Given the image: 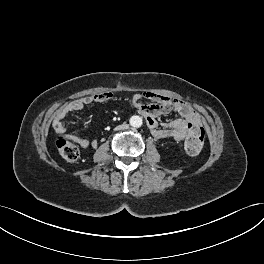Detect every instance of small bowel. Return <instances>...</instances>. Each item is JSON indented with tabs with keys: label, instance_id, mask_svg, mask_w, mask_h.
Listing matches in <instances>:
<instances>
[{
	"label": "small bowel",
	"instance_id": "c3829d8e",
	"mask_svg": "<svg viewBox=\"0 0 264 264\" xmlns=\"http://www.w3.org/2000/svg\"><path fill=\"white\" fill-rule=\"evenodd\" d=\"M113 98L110 92L87 96L77 100H73L63 105L55 114L53 128L58 134H65L66 127L63 123L65 116L71 112H77L84 109L86 105L92 103H104ZM143 99H148L152 103H144ZM133 106L145 118L151 134L157 139L173 138L176 141H182L189 136L194 126H200V117L195 110L187 103L180 99H172L168 96L145 92L138 93L132 97ZM175 111L180 118L170 122L159 123L157 117ZM68 139L74 141L82 148L97 146L96 140H88L77 135H65Z\"/></svg>",
	"mask_w": 264,
	"mask_h": 264
}]
</instances>
